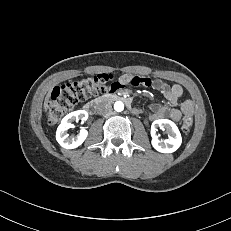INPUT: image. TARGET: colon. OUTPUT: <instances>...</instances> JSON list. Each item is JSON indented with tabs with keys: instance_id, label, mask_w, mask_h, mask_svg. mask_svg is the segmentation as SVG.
I'll return each instance as SVG.
<instances>
[{
	"instance_id": "colon-1",
	"label": "colon",
	"mask_w": 231,
	"mask_h": 231,
	"mask_svg": "<svg viewBox=\"0 0 231 231\" xmlns=\"http://www.w3.org/2000/svg\"><path fill=\"white\" fill-rule=\"evenodd\" d=\"M114 80L111 74H98L69 81L55 87L47 102L48 123L50 125L58 124L63 116L78 103L99 94H104L103 89L109 87ZM192 123V116L185 115L181 122V129L188 132Z\"/></svg>"
}]
</instances>
